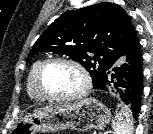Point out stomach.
I'll return each mask as SVG.
<instances>
[{"label": "stomach", "instance_id": "obj_1", "mask_svg": "<svg viewBox=\"0 0 153 134\" xmlns=\"http://www.w3.org/2000/svg\"><path fill=\"white\" fill-rule=\"evenodd\" d=\"M109 112L95 98L73 104L49 105L27 114L15 126L14 134L54 133L68 128L85 132L106 126Z\"/></svg>", "mask_w": 153, "mask_h": 134}]
</instances>
